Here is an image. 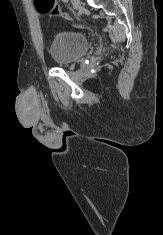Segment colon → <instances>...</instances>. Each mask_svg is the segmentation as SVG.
Masks as SVG:
<instances>
[{
  "label": "colon",
  "mask_w": 163,
  "mask_h": 235,
  "mask_svg": "<svg viewBox=\"0 0 163 235\" xmlns=\"http://www.w3.org/2000/svg\"><path fill=\"white\" fill-rule=\"evenodd\" d=\"M37 9L42 13L52 14L64 19H71V16L55 0H36Z\"/></svg>",
  "instance_id": "1"
}]
</instances>
